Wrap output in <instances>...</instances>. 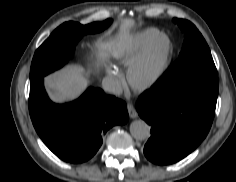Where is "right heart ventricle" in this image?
Returning <instances> with one entry per match:
<instances>
[{
  "mask_svg": "<svg viewBox=\"0 0 236 182\" xmlns=\"http://www.w3.org/2000/svg\"><path fill=\"white\" fill-rule=\"evenodd\" d=\"M159 34L155 28H145L131 37L123 40L114 51L115 59L122 66L131 65Z\"/></svg>",
  "mask_w": 236,
  "mask_h": 182,
  "instance_id": "1",
  "label": "right heart ventricle"
}]
</instances>
